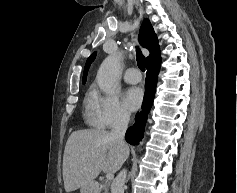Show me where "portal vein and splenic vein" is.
Wrapping results in <instances>:
<instances>
[{"instance_id": "obj_1", "label": "portal vein and splenic vein", "mask_w": 237, "mask_h": 193, "mask_svg": "<svg viewBox=\"0 0 237 193\" xmlns=\"http://www.w3.org/2000/svg\"><path fill=\"white\" fill-rule=\"evenodd\" d=\"M114 178V174L112 173V172H108L107 174H106V179L107 180H112Z\"/></svg>"}]
</instances>
